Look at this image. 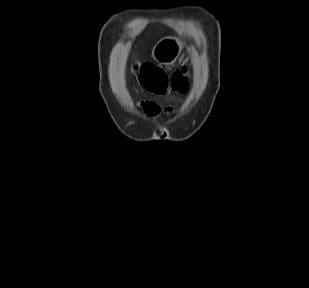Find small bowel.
<instances>
[{
	"mask_svg": "<svg viewBox=\"0 0 309 288\" xmlns=\"http://www.w3.org/2000/svg\"><path fill=\"white\" fill-rule=\"evenodd\" d=\"M144 108L149 114H156L159 112V108L151 102H146Z\"/></svg>",
	"mask_w": 309,
	"mask_h": 288,
	"instance_id": "c3829d8e",
	"label": "small bowel"
}]
</instances>
